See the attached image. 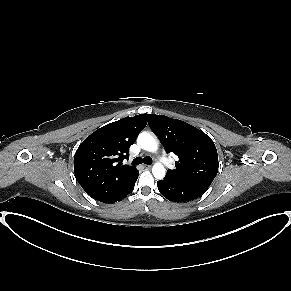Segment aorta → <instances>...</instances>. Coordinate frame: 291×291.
Returning <instances> with one entry per match:
<instances>
[{"label": "aorta", "mask_w": 291, "mask_h": 291, "mask_svg": "<svg viewBox=\"0 0 291 291\" xmlns=\"http://www.w3.org/2000/svg\"><path fill=\"white\" fill-rule=\"evenodd\" d=\"M138 143L144 150L149 152H154L158 148L155 138L147 132H142L138 135ZM152 173L156 179H163L165 177V168L162 164L156 163L152 168Z\"/></svg>", "instance_id": "1"}]
</instances>
